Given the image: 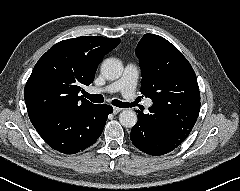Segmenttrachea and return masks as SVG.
Returning <instances> with one entry per match:
<instances>
[{"mask_svg": "<svg viewBox=\"0 0 240 191\" xmlns=\"http://www.w3.org/2000/svg\"><path fill=\"white\" fill-rule=\"evenodd\" d=\"M83 95L93 103H102L104 101L103 96L100 95V94L91 95L87 92H84ZM112 104L116 107H119V108H128V107L135 106L134 103L122 102V101H119L117 99L112 100Z\"/></svg>", "mask_w": 240, "mask_h": 191, "instance_id": "obj_1", "label": "trachea"}]
</instances>
